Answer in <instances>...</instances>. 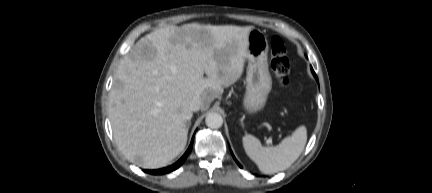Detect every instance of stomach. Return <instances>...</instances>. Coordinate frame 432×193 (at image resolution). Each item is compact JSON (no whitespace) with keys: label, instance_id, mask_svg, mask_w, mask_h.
<instances>
[{"label":"stomach","instance_id":"0dacf381","mask_svg":"<svg viewBox=\"0 0 432 193\" xmlns=\"http://www.w3.org/2000/svg\"><path fill=\"white\" fill-rule=\"evenodd\" d=\"M268 40L265 33L252 29L248 34L246 92L243 108L249 114L264 108L272 87L268 69Z\"/></svg>","mask_w":432,"mask_h":193}]
</instances>
